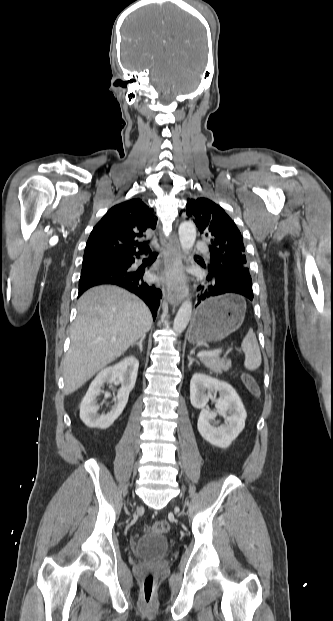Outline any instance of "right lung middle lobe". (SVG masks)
Wrapping results in <instances>:
<instances>
[{
    "instance_id": "dd1d6c3e",
    "label": "right lung middle lobe",
    "mask_w": 333,
    "mask_h": 621,
    "mask_svg": "<svg viewBox=\"0 0 333 621\" xmlns=\"http://www.w3.org/2000/svg\"><path fill=\"white\" fill-rule=\"evenodd\" d=\"M87 261H90V260L83 259V263H84V262H87Z\"/></svg>"
}]
</instances>
